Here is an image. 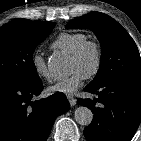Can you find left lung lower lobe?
Returning <instances> with one entry per match:
<instances>
[{
  "label": "left lung lower lobe",
  "mask_w": 141,
  "mask_h": 141,
  "mask_svg": "<svg viewBox=\"0 0 141 141\" xmlns=\"http://www.w3.org/2000/svg\"><path fill=\"white\" fill-rule=\"evenodd\" d=\"M98 99H78L94 114L84 129L88 141H130L141 121V79L121 78L84 89ZM103 106L96 107V102Z\"/></svg>",
  "instance_id": "left-lung-lower-lobe-1"
}]
</instances>
